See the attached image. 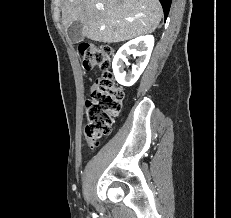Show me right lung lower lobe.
Returning <instances> with one entry per match:
<instances>
[{"instance_id":"right-lung-lower-lobe-1","label":"right lung lower lobe","mask_w":231,"mask_h":218,"mask_svg":"<svg viewBox=\"0 0 231 218\" xmlns=\"http://www.w3.org/2000/svg\"><path fill=\"white\" fill-rule=\"evenodd\" d=\"M159 1L163 7L164 16L165 18H167L172 0H159Z\"/></svg>"}]
</instances>
